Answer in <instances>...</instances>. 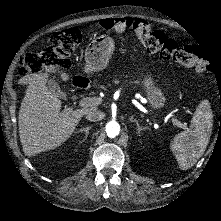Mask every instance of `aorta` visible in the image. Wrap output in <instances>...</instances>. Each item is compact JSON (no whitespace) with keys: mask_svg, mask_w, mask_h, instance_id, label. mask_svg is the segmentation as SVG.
<instances>
[{"mask_svg":"<svg viewBox=\"0 0 221 221\" xmlns=\"http://www.w3.org/2000/svg\"><path fill=\"white\" fill-rule=\"evenodd\" d=\"M120 132V125L116 121H109L106 124V133L107 136L109 137H115L119 134Z\"/></svg>","mask_w":221,"mask_h":221,"instance_id":"1","label":"aorta"}]
</instances>
